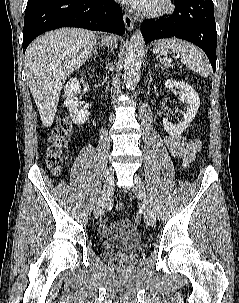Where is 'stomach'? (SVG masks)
I'll list each match as a JSON object with an SVG mask.
<instances>
[{"label":"stomach","instance_id":"0dacf381","mask_svg":"<svg viewBox=\"0 0 239 303\" xmlns=\"http://www.w3.org/2000/svg\"><path fill=\"white\" fill-rule=\"evenodd\" d=\"M164 53H165V51H161V52H160V55H162V54H164Z\"/></svg>","mask_w":239,"mask_h":303}]
</instances>
